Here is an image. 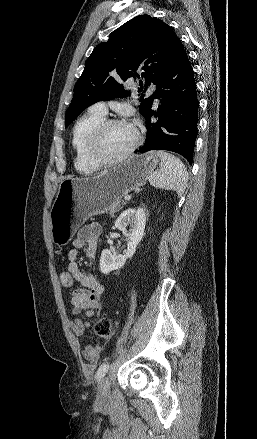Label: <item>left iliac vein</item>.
<instances>
[{"mask_svg": "<svg viewBox=\"0 0 257 439\" xmlns=\"http://www.w3.org/2000/svg\"><path fill=\"white\" fill-rule=\"evenodd\" d=\"M110 397V382L108 377H104L101 380L98 389L97 401L98 403H105L109 400Z\"/></svg>", "mask_w": 257, "mask_h": 439, "instance_id": "4c4485c4", "label": "left iliac vein"}]
</instances>
